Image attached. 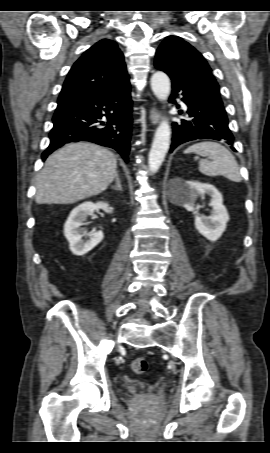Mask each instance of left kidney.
I'll return each mask as SVG.
<instances>
[{
    "label": "left kidney",
    "instance_id": "obj_1",
    "mask_svg": "<svg viewBox=\"0 0 270 453\" xmlns=\"http://www.w3.org/2000/svg\"><path fill=\"white\" fill-rule=\"evenodd\" d=\"M209 195L210 216H200L196 208V200L199 196ZM182 206L195 214V228L210 241L218 240L226 229L229 215L223 205L222 194L211 184L195 181H185L180 198Z\"/></svg>",
    "mask_w": 270,
    "mask_h": 453
}]
</instances>
